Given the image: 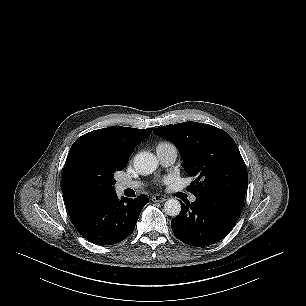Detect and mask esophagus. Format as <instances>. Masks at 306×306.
I'll list each match as a JSON object with an SVG mask.
<instances>
[{
	"label": "esophagus",
	"instance_id": "1",
	"mask_svg": "<svg viewBox=\"0 0 306 306\" xmlns=\"http://www.w3.org/2000/svg\"><path fill=\"white\" fill-rule=\"evenodd\" d=\"M151 200L153 202H164L166 200V197L155 195V196H152Z\"/></svg>",
	"mask_w": 306,
	"mask_h": 306
}]
</instances>
